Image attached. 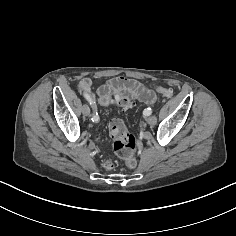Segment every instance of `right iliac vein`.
<instances>
[{"label": "right iliac vein", "mask_w": 236, "mask_h": 236, "mask_svg": "<svg viewBox=\"0 0 236 236\" xmlns=\"http://www.w3.org/2000/svg\"><path fill=\"white\" fill-rule=\"evenodd\" d=\"M81 111L83 115L88 116L90 114V108L87 104L82 105Z\"/></svg>", "instance_id": "right-iliac-vein-1"}]
</instances>
